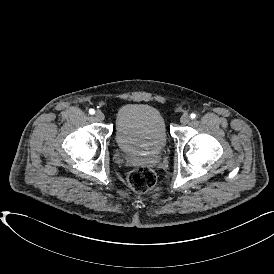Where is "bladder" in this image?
Segmentation results:
<instances>
[{
    "label": "bladder",
    "instance_id": "1",
    "mask_svg": "<svg viewBox=\"0 0 274 274\" xmlns=\"http://www.w3.org/2000/svg\"><path fill=\"white\" fill-rule=\"evenodd\" d=\"M114 137L124 153L156 154L168 144L169 133L159 108L145 102H133L117 112Z\"/></svg>",
    "mask_w": 274,
    "mask_h": 274
}]
</instances>
